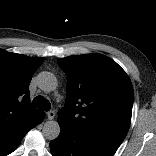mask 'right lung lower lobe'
Listing matches in <instances>:
<instances>
[{
    "mask_svg": "<svg viewBox=\"0 0 156 156\" xmlns=\"http://www.w3.org/2000/svg\"><path fill=\"white\" fill-rule=\"evenodd\" d=\"M44 112H42L36 121L25 128H13L12 130L0 133V156H6L13 152L20 144L26 133L42 122Z\"/></svg>",
    "mask_w": 156,
    "mask_h": 156,
    "instance_id": "98d812e1",
    "label": "right lung lower lobe"
}]
</instances>
